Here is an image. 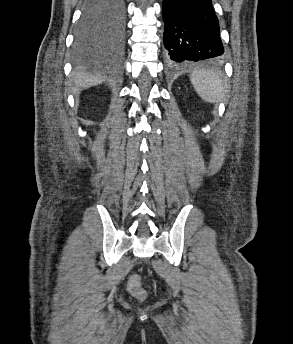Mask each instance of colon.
I'll use <instances>...</instances> for the list:
<instances>
[{"label": "colon", "instance_id": "5ec220e1", "mask_svg": "<svg viewBox=\"0 0 293 344\" xmlns=\"http://www.w3.org/2000/svg\"><path fill=\"white\" fill-rule=\"evenodd\" d=\"M129 292L137 299L144 300L147 296L145 289L141 286L140 277L134 275L128 282Z\"/></svg>", "mask_w": 293, "mask_h": 344}]
</instances>
